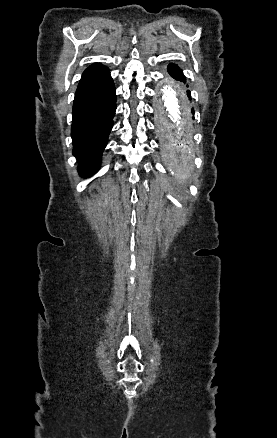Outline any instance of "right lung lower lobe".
<instances>
[{
  "instance_id": "1",
  "label": "right lung lower lobe",
  "mask_w": 277,
  "mask_h": 438,
  "mask_svg": "<svg viewBox=\"0 0 277 438\" xmlns=\"http://www.w3.org/2000/svg\"><path fill=\"white\" fill-rule=\"evenodd\" d=\"M115 110V86L109 70L80 81L75 93L71 135L82 177H89L100 168Z\"/></svg>"
}]
</instances>
